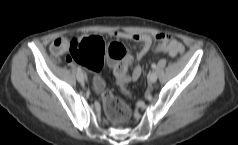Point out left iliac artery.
<instances>
[{
    "label": "left iliac artery",
    "mask_w": 238,
    "mask_h": 145,
    "mask_svg": "<svg viewBox=\"0 0 238 145\" xmlns=\"http://www.w3.org/2000/svg\"><path fill=\"white\" fill-rule=\"evenodd\" d=\"M153 69H155L156 68V64H152V66H151Z\"/></svg>",
    "instance_id": "obj_1"
}]
</instances>
